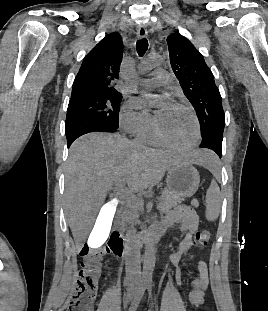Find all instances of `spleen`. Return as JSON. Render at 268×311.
Returning <instances> with one entry per match:
<instances>
[{"mask_svg":"<svg viewBox=\"0 0 268 311\" xmlns=\"http://www.w3.org/2000/svg\"><path fill=\"white\" fill-rule=\"evenodd\" d=\"M216 160L213 155L210 156L208 160V165L210 166L211 170L214 173V179H212L211 184L206 192V198H205V216L208 221H215L219 213L221 211V205H222V194L220 192V188L216 182V179H218V171L215 168Z\"/></svg>","mask_w":268,"mask_h":311,"instance_id":"1","label":"spleen"}]
</instances>
